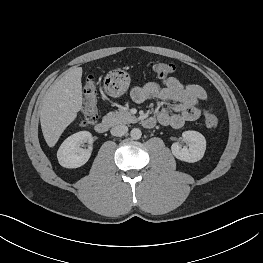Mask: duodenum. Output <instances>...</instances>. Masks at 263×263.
I'll list each match as a JSON object with an SVG mask.
<instances>
[{"mask_svg":"<svg viewBox=\"0 0 263 263\" xmlns=\"http://www.w3.org/2000/svg\"><path fill=\"white\" fill-rule=\"evenodd\" d=\"M142 124L146 128H152L156 124V120L153 117H145L142 119ZM112 125L110 119H103L95 125V130L97 133L104 134L107 133Z\"/></svg>","mask_w":263,"mask_h":263,"instance_id":"duodenum-1","label":"duodenum"}]
</instances>
